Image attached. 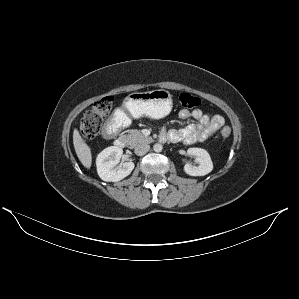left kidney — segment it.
I'll list each match as a JSON object with an SVG mask.
<instances>
[{
    "instance_id": "obj_1",
    "label": "left kidney",
    "mask_w": 299,
    "mask_h": 299,
    "mask_svg": "<svg viewBox=\"0 0 299 299\" xmlns=\"http://www.w3.org/2000/svg\"><path fill=\"white\" fill-rule=\"evenodd\" d=\"M189 155L196 156V160L199 163L198 166L186 164L184 171L190 176H204L213 170V163L209 153L202 148H189L187 150Z\"/></svg>"
}]
</instances>
